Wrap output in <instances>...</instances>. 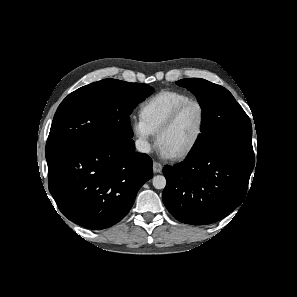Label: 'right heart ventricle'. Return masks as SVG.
<instances>
[{
  "mask_svg": "<svg viewBox=\"0 0 297 297\" xmlns=\"http://www.w3.org/2000/svg\"><path fill=\"white\" fill-rule=\"evenodd\" d=\"M190 96L179 91L163 90L142 103L140 115L153 133H157L160 126L172 111Z\"/></svg>",
  "mask_w": 297,
  "mask_h": 297,
  "instance_id": "e07e8e85",
  "label": "right heart ventricle"
}]
</instances>
